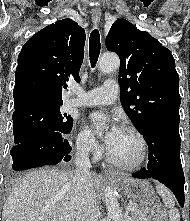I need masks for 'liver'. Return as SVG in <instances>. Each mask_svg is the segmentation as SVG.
<instances>
[{
    "instance_id": "obj_1",
    "label": "liver",
    "mask_w": 190,
    "mask_h": 221,
    "mask_svg": "<svg viewBox=\"0 0 190 221\" xmlns=\"http://www.w3.org/2000/svg\"><path fill=\"white\" fill-rule=\"evenodd\" d=\"M73 175L40 169L16 179L3 206L2 221H75ZM94 189L98 178L92 177Z\"/></svg>"
}]
</instances>
